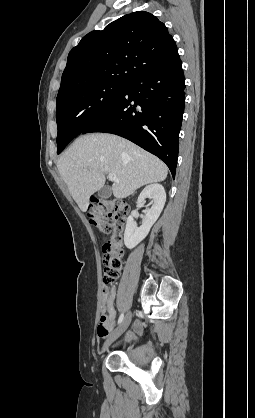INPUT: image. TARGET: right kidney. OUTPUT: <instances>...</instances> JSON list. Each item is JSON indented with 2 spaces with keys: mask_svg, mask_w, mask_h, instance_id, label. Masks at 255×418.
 Segmentation results:
<instances>
[{
  "mask_svg": "<svg viewBox=\"0 0 255 418\" xmlns=\"http://www.w3.org/2000/svg\"><path fill=\"white\" fill-rule=\"evenodd\" d=\"M146 198L152 199V206L144 211L145 216L142 225L137 227L134 215L127 218L124 243L128 249L137 246L148 235L151 227L159 218L166 202L164 187L157 183L146 186L138 197V204L143 206Z\"/></svg>",
  "mask_w": 255,
  "mask_h": 418,
  "instance_id": "ca27d5eb",
  "label": "right kidney"
}]
</instances>
